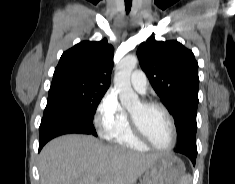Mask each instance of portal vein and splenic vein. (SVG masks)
Masks as SVG:
<instances>
[{
  "mask_svg": "<svg viewBox=\"0 0 235 184\" xmlns=\"http://www.w3.org/2000/svg\"><path fill=\"white\" fill-rule=\"evenodd\" d=\"M94 184H99V182H94Z\"/></svg>",
  "mask_w": 235,
  "mask_h": 184,
  "instance_id": "18ae733b",
  "label": "portal vein and splenic vein"
}]
</instances>
